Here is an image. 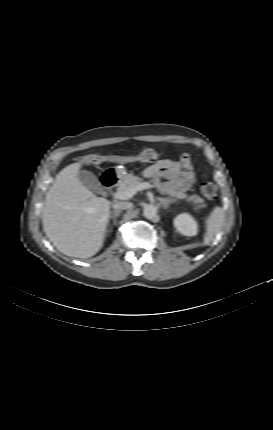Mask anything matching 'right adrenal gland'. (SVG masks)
<instances>
[{
	"label": "right adrenal gland",
	"mask_w": 273,
	"mask_h": 430,
	"mask_svg": "<svg viewBox=\"0 0 273 430\" xmlns=\"http://www.w3.org/2000/svg\"><path fill=\"white\" fill-rule=\"evenodd\" d=\"M121 210H114L110 213L107 223H109L110 219H113L114 224H116L117 217H119Z\"/></svg>",
	"instance_id": "obj_1"
}]
</instances>
